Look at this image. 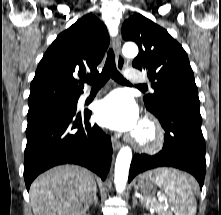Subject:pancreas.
I'll return each mask as SVG.
<instances>
[{"label":"pancreas","instance_id":"pancreas-1","mask_svg":"<svg viewBox=\"0 0 221 215\" xmlns=\"http://www.w3.org/2000/svg\"><path fill=\"white\" fill-rule=\"evenodd\" d=\"M157 212L159 215H172L171 211L164 210L162 206L158 207Z\"/></svg>","mask_w":221,"mask_h":215}]
</instances>
